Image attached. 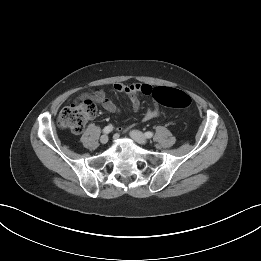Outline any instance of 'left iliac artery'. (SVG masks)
Returning a JSON list of instances; mask_svg holds the SVG:
<instances>
[{"label": "left iliac artery", "instance_id": "left-iliac-artery-1", "mask_svg": "<svg viewBox=\"0 0 261 261\" xmlns=\"http://www.w3.org/2000/svg\"><path fill=\"white\" fill-rule=\"evenodd\" d=\"M152 136H153V132L151 131L145 132V137L151 138Z\"/></svg>", "mask_w": 261, "mask_h": 261}]
</instances>
